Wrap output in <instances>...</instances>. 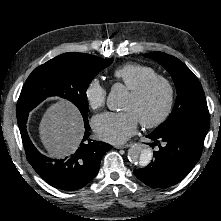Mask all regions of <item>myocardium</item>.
Here are the masks:
<instances>
[{
    "instance_id": "obj_1",
    "label": "myocardium",
    "mask_w": 221,
    "mask_h": 221,
    "mask_svg": "<svg viewBox=\"0 0 221 221\" xmlns=\"http://www.w3.org/2000/svg\"><path fill=\"white\" fill-rule=\"evenodd\" d=\"M156 84H161L166 91V101L164 108L162 112L154 119L152 120H140V123L145 128H154L162 123H164L168 117L170 116L175 102V90L170 82L169 79H167L164 76L161 75H155L152 76L145 81H143L141 84H139L137 87L130 90V94L134 96L135 98H142L144 97Z\"/></svg>"
}]
</instances>
